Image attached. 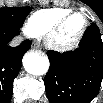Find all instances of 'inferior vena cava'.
Masks as SVG:
<instances>
[{"mask_svg": "<svg viewBox=\"0 0 103 103\" xmlns=\"http://www.w3.org/2000/svg\"><path fill=\"white\" fill-rule=\"evenodd\" d=\"M21 42H22V38H21V37H17L15 40H13V41L10 43V45L14 47V46L19 45Z\"/></svg>", "mask_w": 103, "mask_h": 103, "instance_id": "inferior-vena-cava-1", "label": "inferior vena cava"}]
</instances>
